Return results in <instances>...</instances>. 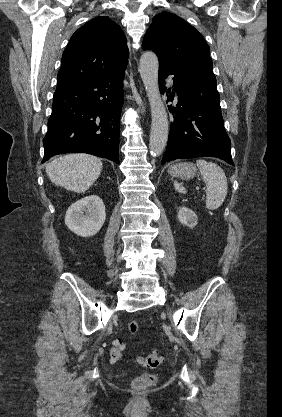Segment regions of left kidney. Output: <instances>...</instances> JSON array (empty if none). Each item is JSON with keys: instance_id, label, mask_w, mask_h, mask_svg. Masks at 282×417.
Here are the masks:
<instances>
[{"instance_id": "obj_1", "label": "left kidney", "mask_w": 282, "mask_h": 417, "mask_svg": "<svg viewBox=\"0 0 282 417\" xmlns=\"http://www.w3.org/2000/svg\"><path fill=\"white\" fill-rule=\"evenodd\" d=\"M179 223L185 225V227H196L198 223V217L195 215L194 211L187 209V206H181V209L177 215Z\"/></svg>"}]
</instances>
